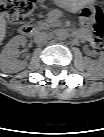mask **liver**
<instances>
[{"label":"liver","mask_w":104,"mask_h":137,"mask_svg":"<svg viewBox=\"0 0 104 137\" xmlns=\"http://www.w3.org/2000/svg\"><path fill=\"white\" fill-rule=\"evenodd\" d=\"M5 27H6L5 19L3 17H1V20H0L1 38H3L5 36Z\"/></svg>","instance_id":"obj_1"}]
</instances>
